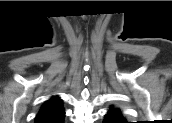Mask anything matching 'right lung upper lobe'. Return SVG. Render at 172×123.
I'll list each match as a JSON object with an SVG mask.
<instances>
[{"instance_id":"cb5924a9","label":"right lung upper lobe","mask_w":172,"mask_h":123,"mask_svg":"<svg viewBox=\"0 0 172 123\" xmlns=\"http://www.w3.org/2000/svg\"><path fill=\"white\" fill-rule=\"evenodd\" d=\"M65 111L61 99L54 96L46 101L36 116L35 123H63Z\"/></svg>"}]
</instances>
